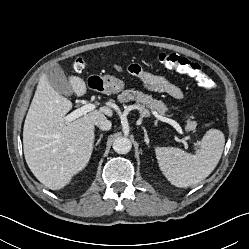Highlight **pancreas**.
<instances>
[{"label": "pancreas", "instance_id": "pancreas-1", "mask_svg": "<svg viewBox=\"0 0 249 249\" xmlns=\"http://www.w3.org/2000/svg\"><path fill=\"white\" fill-rule=\"evenodd\" d=\"M130 100L136 101L137 105L140 107V111L147 113L149 110H154L160 115H164L168 108L162 101L153 99L151 95L144 94L141 91H135L133 89L125 90L120 95H118V101L120 103H126ZM196 122L188 121L187 130H195Z\"/></svg>", "mask_w": 249, "mask_h": 249}]
</instances>
